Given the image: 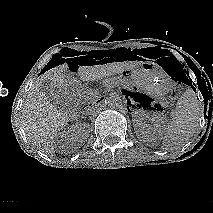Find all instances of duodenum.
<instances>
[{
  "mask_svg": "<svg viewBox=\"0 0 213 213\" xmlns=\"http://www.w3.org/2000/svg\"><path fill=\"white\" fill-rule=\"evenodd\" d=\"M70 95L73 96V97L77 96V91L75 90L74 86L71 88ZM99 102H100V100H96L94 102L86 104L84 107H85V109H91V108H94Z\"/></svg>",
  "mask_w": 213,
  "mask_h": 213,
  "instance_id": "410a0bca",
  "label": "duodenum"
}]
</instances>
